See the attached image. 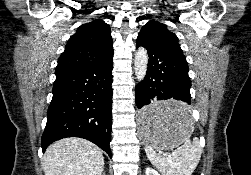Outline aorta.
Instances as JSON below:
<instances>
[{"instance_id":"aorta-1","label":"aorta","mask_w":251,"mask_h":175,"mask_svg":"<svg viewBox=\"0 0 251 175\" xmlns=\"http://www.w3.org/2000/svg\"><path fill=\"white\" fill-rule=\"evenodd\" d=\"M148 66V54L145 48H138L135 54L134 70L135 76L139 82H142L146 76Z\"/></svg>"}]
</instances>
